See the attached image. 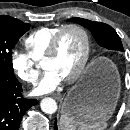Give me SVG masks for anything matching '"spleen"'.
Segmentation results:
<instances>
[{"label": "spleen", "instance_id": "3e777b00", "mask_svg": "<svg viewBox=\"0 0 130 130\" xmlns=\"http://www.w3.org/2000/svg\"><path fill=\"white\" fill-rule=\"evenodd\" d=\"M106 127V121L87 124L76 121L64 114L60 117V130H104Z\"/></svg>", "mask_w": 130, "mask_h": 130}]
</instances>
